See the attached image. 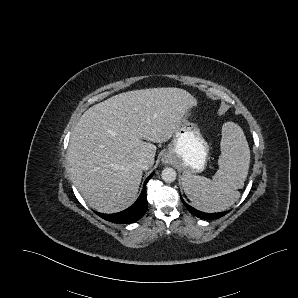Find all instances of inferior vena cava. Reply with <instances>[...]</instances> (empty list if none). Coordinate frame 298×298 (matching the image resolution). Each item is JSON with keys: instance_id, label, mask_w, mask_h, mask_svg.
<instances>
[{"instance_id": "inferior-vena-cava-1", "label": "inferior vena cava", "mask_w": 298, "mask_h": 298, "mask_svg": "<svg viewBox=\"0 0 298 298\" xmlns=\"http://www.w3.org/2000/svg\"><path fill=\"white\" fill-rule=\"evenodd\" d=\"M137 166L142 170H148L151 167L149 161L146 158H140L137 162Z\"/></svg>"}]
</instances>
